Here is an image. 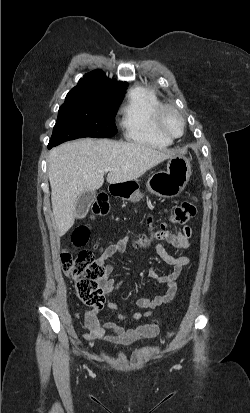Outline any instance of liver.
I'll list each match as a JSON object with an SVG mask.
<instances>
[{
  "instance_id": "liver-1",
  "label": "liver",
  "mask_w": 250,
  "mask_h": 413,
  "mask_svg": "<svg viewBox=\"0 0 250 413\" xmlns=\"http://www.w3.org/2000/svg\"><path fill=\"white\" fill-rule=\"evenodd\" d=\"M175 150H157L140 143L84 138L66 142L49 153L48 178L51 202L59 236L74 224L75 204L86 191L104 183V169L109 184L135 180L146 171L176 155Z\"/></svg>"
}]
</instances>
